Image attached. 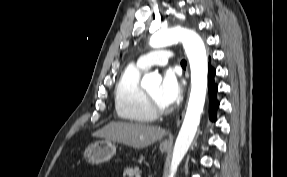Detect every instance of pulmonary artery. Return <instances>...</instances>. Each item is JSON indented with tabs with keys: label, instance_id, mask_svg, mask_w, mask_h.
<instances>
[{
	"label": "pulmonary artery",
	"instance_id": "e3ab8cb5",
	"mask_svg": "<svg viewBox=\"0 0 287 177\" xmlns=\"http://www.w3.org/2000/svg\"><path fill=\"white\" fill-rule=\"evenodd\" d=\"M171 59H174L175 62H177V59L172 51L168 47H165L159 50H153L150 53L142 56L138 60L137 64L143 69H148L151 66H164Z\"/></svg>",
	"mask_w": 287,
	"mask_h": 177
}]
</instances>
